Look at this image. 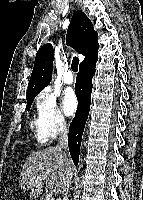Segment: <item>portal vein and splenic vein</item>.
I'll list each match as a JSON object with an SVG mask.
<instances>
[{"mask_svg": "<svg viewBox=\"0 0 143 200\" xmlns=\"http://www.w3.org/2000/svg\"><path fill=\"white\" fill-rule=\"evenodd\" d=\"M47 173H43V179H46ZM46 200H54L53 194H47L46 195Z\"/></svg>", "mask_w": 143, "mask_h": 200, "instance_id": "1", "label": "portal vein and splenic vein"}]
</instances>
